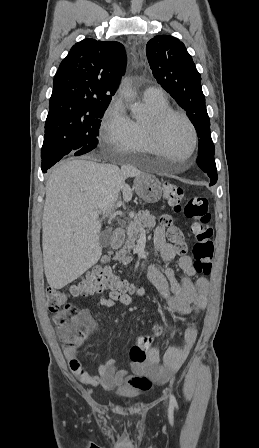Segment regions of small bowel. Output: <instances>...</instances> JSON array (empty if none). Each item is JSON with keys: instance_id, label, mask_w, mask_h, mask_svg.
Returning <instances> with one entry per match:
<instances>
[{"instance_id": "obj_1", "label": "small bowel", "mask_w": 259, "mask_h": 448, "mask_svg": "<svg viewBox=\"0 0 259 448\" xmlns=\"http://www.w3.org/2000/svg\"><path fill=\"white\" fill-rule=\"evenodd\" d=\"M154 251L164 261H173L179 250L176 245L166 240L164 227H158L154 234ZM181 275H176L173 269L161 270L154 265L148 268V277L156 290L160 293L166 304L183 316L196 315L207 306L209 281L194 268L190 254H182L178 260ZM130 294H110L108 298H101L100 304L104 307H114L118 304L130 305ZM156 336L162 335L164 328L154 325L152 328ZM197 339V329L188 326L184 331V343L178 348H169L160 362L157 348H150L147 359L143 363H131V370L119 369L115 359H108L97 366V374L88 373L76 357V350L65 349V357L72 373L77 379L88 385H100L105 390L117 386H127L131 389L148 390L151 382L165 383L181 367L187 359Z\"/></svg>"}]
</instances>
